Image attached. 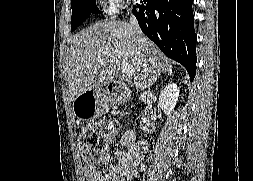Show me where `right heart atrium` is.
Returning a JSON list of instances; mask_svg holds the SVG:
<instances>
[{"instance_id": "obj_1", "label": "right heart atrium", "mask_w": 253, "mask_h": 181, "mask_svg": "<svg viewBox=\"0 0 253 181\" xmlns=\"http://www.w3.org/2000/svg\"><path fill=\"white\" fill-rule=\"evenodd\" d=\"M105 10L110 14H119L130 7V0H101Z\"/></svg>"}]
</instances>
